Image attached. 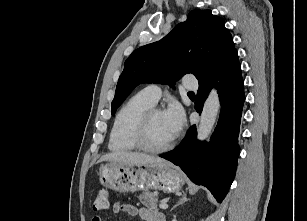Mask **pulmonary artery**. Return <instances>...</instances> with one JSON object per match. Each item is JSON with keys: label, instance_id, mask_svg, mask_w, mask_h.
<instances>
[{"label": "pulmonary artery", "instance_id": "e3ab8cb5", "mask_svg": "<svg viewBox=\"0 0 307 221\" xmlns=\"http://www.w3.org/2000/svg\"><path fill=\"white\" fill-rule=\"evenodd\" d=\"M183 85L187 89H197L198 84L195 80L192 79V76H187L184 81ZM142 94L148 98L154 104L158 102L161 97L162 90L158 85H148L144 89H142Z\"/></svg>", "mask_w": 307, "mask_h": 221}]
</instances>
